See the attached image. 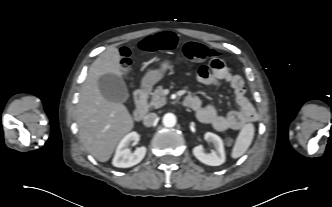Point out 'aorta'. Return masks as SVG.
<instances>
[{
	"label": "aorta",
	"mask_w": 332,
	"mask_h": 207,
	"mask_svg": "<svg viewBox=\"0 0 332 207\" xmlns=\"http://www.w3.org/2000/svg\"><path fill=\"white\" fill-rule=\"evenodd\" d=\"M162 122L165 127H173L176 125V116L172 113H167L163 116Z\"/></svg>",
	"instance_id": "762f6f07"
}]
</instances>
